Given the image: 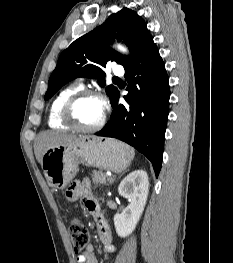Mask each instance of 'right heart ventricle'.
<instances>
[{
  "mask_svg": "<svg viewBox=\"0 0 233 263\" xmlns=\"http://www.w3.org/2000/svg\"><path fill=\"white\" fill-rule=\"evenodd\" d=\"M81 90L80 85H70L62 89L52 100L48 112V125L52 129H68L62 120L61 111L65 101L74 93Z\"/></svg>",
  "mask_w": 233,
  "mask_h": 263,
  "instance_id": "1",
  "label": "right heart ventricle"
}]
</instances>
